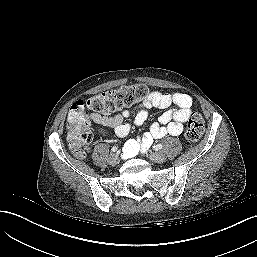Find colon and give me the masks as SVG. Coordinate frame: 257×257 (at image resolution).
I'll return each mask as SVG.
<instances>
[{
  "instance_id": "5ec220e1",
  "label": "colon",
  "mask_w": 257,
  "mask_h": 257,
  "mask_svg": "<svg viewBox=\"0 0 257 257\" xmlns=\"http://www.w3.org/2000/svg\"><path fill=\"white\" fill-rule=\"evenodd\" d=\"M147 96V87L143 84H135L95 95L86 101L81 99L72 104L67 118V136L74 155L83 157L86 147L92 139L88 121L82 113L85 107L93 111L109 113L132 106ZM203 131L202 116L197 112H192L187 121L186 141L190 144L196 143L201 138Z\"/></svg>"
}]
</instances>
